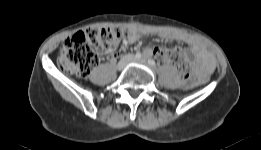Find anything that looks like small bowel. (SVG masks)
Here are the masks:
<instances>
[{
  "label": "small bowel",
  "instance_id": "small-bowel-1",
  "mask_svg": "<svg viewBox=\"0 0 261 150\" xmlns=\"http://www.w3.org/2000/svg\"><path fill=\"white\" fill-rule=\"evenodd\" d=\"M149 31L146 29L134 28L131 30L130 35L127 37L125 43H135L144 34H148ZM181 41L190 46V51L195 57L194 61V77L192 81L197 78L206 76L214 68V59L206 47L196 38L192 36H183L180 38ZM145 57L153 55L152 49H145L143 52ZM114 59V57H112ZM191 83V82H190Z\"/></svg>",
  "mask_w": 261,
  "mask_h": 150
}]
</instances>
